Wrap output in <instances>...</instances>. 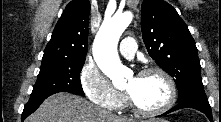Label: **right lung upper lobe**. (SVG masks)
Listing matches in <instances>:
<instances>
[{"label": "right lung upper lobe", "mask_w": 221, "mask_h": 122, "mask_svg": "<svg viewBox=\"0 0 221 122\" xmlns=\"http://www.w3.org/2000/svg\"><path fill=\"white\" fill-rule=\"evenodd\" d=\"M89 13L88 0H73L66 6L44 50L42 61L85 59Z\"/></svg>", "instance_id": "right-lung-upper-lobe-1"}]
</instances>
